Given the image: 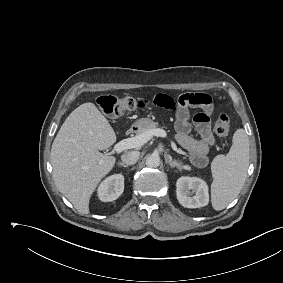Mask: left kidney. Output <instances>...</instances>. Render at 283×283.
Here are the masks:
<instances>
[{
    "label": "left kidney",
    "instance_id": "obj_1",
    "mask_svg": "<svg viewBox=\"0 0 283 283\" xmlns=\"http://www.w3.org/2000/svg\"><path fill=\"white\" fill-rule=\"evenodd\" d=\"M176 194L179 203L187 208H200L209 202L208 186L204 180L197 177L179 178L176 183Z\"/></svg>",
    "mask_w": 283,
    "mask_h": 283
}]
</instances>
